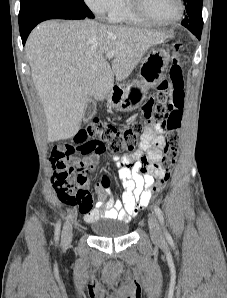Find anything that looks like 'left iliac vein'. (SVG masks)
I'll use <instances>...</instances> for the list:
<instances>
[{
  "label": "left iliac vein",
  "instance_id": "obj_1",
  "mask_svg": "<svg viewBox=\"0 0 227 298\" xmlns=\"http://www.w3.org/2000/svg\"><path fill=\"white\" fill-rule=\"evenodd\" d=\"M148 225H149L152 240L157 244L163 243L164 242V235H163V232H162L161 227L159 225V222H158L157 218L154 215H151L149 217Z\"/></svg>",
  "mask_w": 227,
  "mask_h": 298
}]
</instances>
